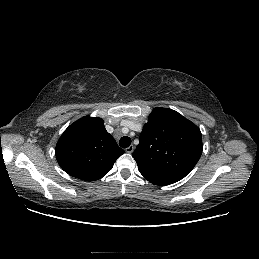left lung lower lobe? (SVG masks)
<instances>
[{
    "instance_id": "0a47b994",
    "label": "left lung lower lobe",
    "mask_w": 259,
    "mask_h": 259,
    "mask_svg": "<svg viewBox=\"0 0 259 259\" xmlns=\"http://www.w3.org/2000/svg\"><path fill=\"white\" fill-rule=\"evenodd\" d=\"M143 177L145 179H147L149 182H151L152 184H155V185H168V184H171L163 179H160V178H156L148 173H144V172H140Z\"/></svg>"
}]
</instances>
